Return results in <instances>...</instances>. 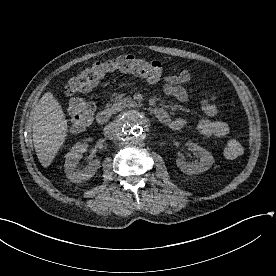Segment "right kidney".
Segmentation results:
<instances>
[{"label": "right kidney", "instance_id": "right-kidney-1", "mask_svg": "<svg viewBox=\"0 0 276 276\" xmlns=\"http://www.w3.org/2000/svg\"><path fill=\"white\" fill-rule=\"evenodd\" d=\"M87 148L88 144L86 142H78L71 148L70 152L65 155V173L67 178L74 183H81L89 180L100 167L99 159H94L85 169H77L78 161L82 158Z\"/></svg>", "mask_w": 276, "mask_h": 276}]
</instances>
